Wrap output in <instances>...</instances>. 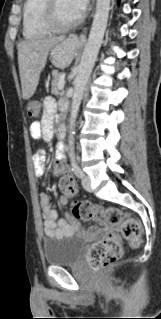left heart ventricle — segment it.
<instances>
[{"label":"left heart ventricle","mask_w":161,"mask_h":319,"mask_svg":"<svg viewBox=\"0 0 161 319\" xmlns=\"http://www.w3.org/2000/svg\"><path fill=\"white\" fill-rule=\"evenodd\" d=\"M56 16L60 24H67L77 18L79 13L73 8L70 0H58Z\"/></svg>","instance_id":"1"}]
</instances>
